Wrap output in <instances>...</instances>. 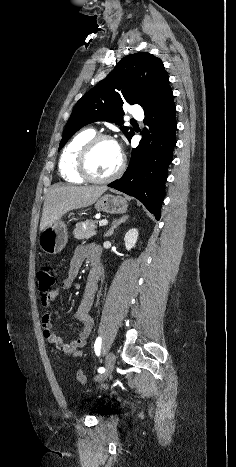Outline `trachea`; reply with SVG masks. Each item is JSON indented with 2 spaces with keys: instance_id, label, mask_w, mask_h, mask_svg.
Instances as JSON below:
<instances>
[{
  "instance_id": "trachea-1",
  "label": "trachea",
  "mask_w": 236,
  "mask_h": 467,
  "mask_svg": "<svg viewBox=\"0 0 236 467\" xmlns=\"http://www.w3.org/2000/svg\"><path fill=\"white\" fill-rule=\"evenodd\" d=\"M131 122H136V120H135V119H131Z\"/></svg>"
}]
</instances>
